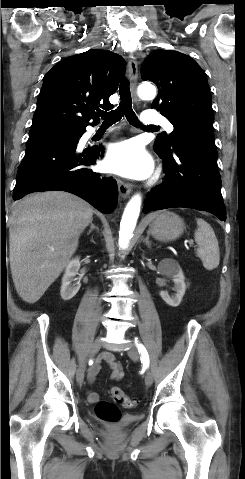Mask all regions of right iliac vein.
I'll list each match as a JSON object with an SVG mask.
<instances>
[{
    "instance_id": "63e3f726",
    "label": "right iliac vein",
    "mask_w": 245,
    "mask_h": 479,
    "mask_svg": "<svg viewBox=\"0 0 245 479\" xmlns=\"http://www.w3.org/2000/svg\"><path fill=\"white\" fill-rule=\"evenodd\" d=\"M101 344H102V339L101 337H99L93 342L89 350V356L95 355L99 351ZM85 369H86V360H82L76 374V379L79 385H82L84 382Z\"/></svg>"
}]
</instances>
